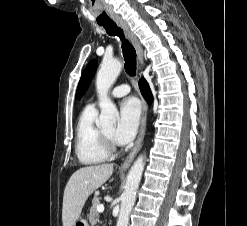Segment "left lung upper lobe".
<instances>
[{"label": "left lung upper lobe", "instance_id": "1", "mask_svg": "<svg viewBox=\"0 0 247 226\" xmlns=\"http://www.w3.org/2000/svg\"><path fill=\"white\" fill-rule=\"evenodd\" d=\"M97 67V61L92 60L90 63L87 65L86 69L84 70L81 79L79 81L77 91H76V98L80 99L85 91L87 90L88 86L90 85V82L92 80V77L95 73Z\"/></svg>", "mask_w": 247, "mask_h": 226}]
</instances>
